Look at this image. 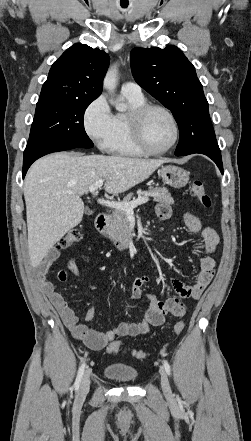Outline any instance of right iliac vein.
Instances as JSON below:
<instances>
[{"label":"right iliac vein","mask_w":251,"mask_h":441,"mask_svg":"<svg viewBox=\"0 0 251 441\" xmlns=\"http://www.w3.org/2000/svg\"><path fill=\"white\" fill-rule=\"evenodd\" d=\"M89 389H90V372L86 371L80 384V389L78 393L79 400H83L86 397V395L89 392Z\"/></svg>","instance_id":"63e3f726"}]
</instances>
